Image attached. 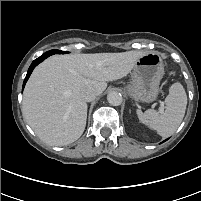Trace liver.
Returning <instances> with one entry per match:
<instances>
[{"instance_id": "1", "label": "liver", "mask_w": 201, "mask_h": 201, "mask_svg": "<svg viewBox=\"0 0 201 201\" xmlns=\"http://www.w3.org/2000/svg\"><path fill=\"white\" fill-rule=\"evenodd\" d=\"M140 51L54 55L39 64L23 93L22 113L28 125L46 144L68 145L84 132L87 103L84 89L97 95L107 81L127 76Z\"/></svg>"}]
</instances>
